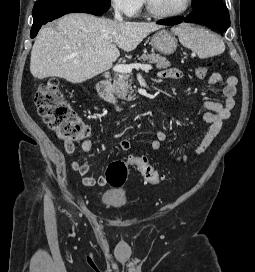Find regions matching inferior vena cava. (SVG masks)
<instances>
[{
    "label": "inferior vena cava",
    "instance_id": "inferior-vena-cava-1",
    "mask_svg": "<svg viewBox=\"0 0 255 272\" xmlns=\"http://www.w3.org/2000/svg\"><path fill=\"white\" fill-rule=\"evenodd\" d=\"M114 18H115V21H118V22H122L123 21V18H122L121 14H120V12L118 10L115 11Z\"/></svg>",
    "mask_w": 255,
    "mask_h": 272
}]
</instances>
